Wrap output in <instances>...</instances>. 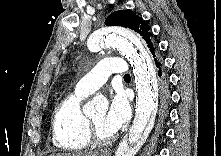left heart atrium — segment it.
Wrapping results in <instances>:
<instances>
[{
  "label": "left heart atrium",
  "instance_id": "39dd6f15",
  "mask_svg": "<svg viewBox=\"0 0 221 156\" xmlns=\"http://www.w3.org/2000/svg\"><path fill=\"white\" fill-rule=\"evenodd\" d=\"M131 109L126 95L115 92L110 100L109 109L104 119V127L111 134L116 133L130 118Z\"/></svg>",
  "mask_w": 221,
  "mask_h": 156
}]
</instances>
